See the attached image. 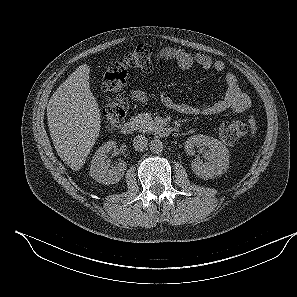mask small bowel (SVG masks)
I'll use <instances>...</instances> for the list:
<instances>
[{
    "mask_svg": "<svg viewBox=\"0 0 297 297\" xmlns=\"http://www.w3.org/2000/svg\"><path fill=\"white\" fill-rule=\"evenodd\" d=\"M155 58L158 61H173L181 69L188 70L194 65L200 66L206 70H214L217 72H223L225 70L224 62L220 60H213L205 54L191 55L183 50L162 47L155 52ZM225 82V94L224 96L211 104L201 105H187L176 103L169 95L162 93L160 99L162 104L177 113L184 115H200L210 116L222 113L230 110L235 113H246L250 108V98L244 93L237 84V79L234 74L226 73L224 76ZM131 97L139 103H146L147 96L141 90H132L130 93Z\"/></svg>",
    "mask_w": 297,
    "mask_h": 297,
    "instance_id": "c3829d8e",
    "label": "small bowel"
}]
</instances>
